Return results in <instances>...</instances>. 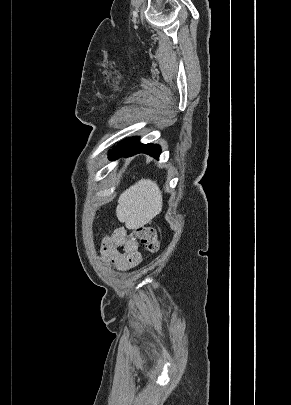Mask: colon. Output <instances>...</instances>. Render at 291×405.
Wrapping results in <instances>:
<instances>
[{"label": "colon", "mask_w": 291, "mask_h": 405, "mask_svg": "<svg viewBox=\"0 0 291 405\" xmlns=\"http://www.w3.org/2000/svg\"><path fill=\"white\" fill-rule=\"evenodd\" d=\"M134 236L143 244L146 251L156 253L160 248L157 230L151 225H142L134 230Z\"/></svg>", "instance_id": "5ec220e1"}]
</instances>
